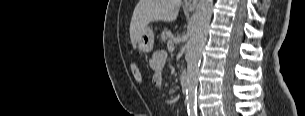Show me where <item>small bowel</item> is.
<instances>
[{
	"mask_svg": "<svg viewBox=\"0 0 305 116\" xmlns=\"http://www.w3.org/2000/svg\"><path fill=\"white\" fill-rule=\"evenodd\" d=\"M165 61L166 54L163 51H157L149 60V65L153 70L152 81L158 89H161L163 86L162 70L164 68Z\"/></svg>",
	"mask_w": 305,
	"mask_h": 116,
	"instance_id": "small-bowel-1",
	"label": "small bowel"
}]
</instances>
